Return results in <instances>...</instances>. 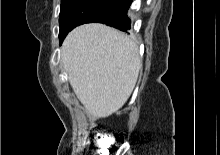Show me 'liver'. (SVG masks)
<instances>
[{"label": "liver", "mask_w": 220, "mask_h": 155, "mask_svg": "<svg viewBox=\"0 0 220 155\" xmlns=\"http://www.w3.org/2000/svg\"><path fill=\"white\" fill-rule=\"evenodd\" d=\"M61 64L77 98L94 118L108 117L127 102L142 67L138 46L102 24L72 30L61 47Z\"/></svg>", "instance_id": "obj_1"}]
</instances>
